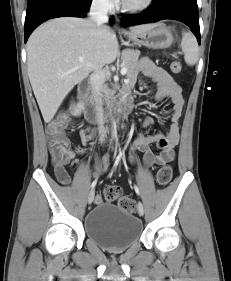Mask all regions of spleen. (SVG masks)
<instances>
[{"mask_svg":"<svg viewBox=\"0 0 231 281\" xmlns=\"http://www.w3.org/2000/svg\"><path fill=\"white\" fill-rule=\"evenodd\" d=\"M181 48L188 65H195L199 58V49L195 36L190 32H183Z\"/></svg>","mask_w":231,"mask_h":281,"instance_id":"obj_1","label":"spleen"}]
</instances>
